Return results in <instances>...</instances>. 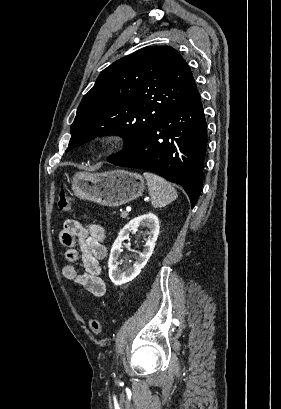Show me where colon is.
I'll return each instance as SVG.
<instances>
[{
  "mask_svg": "<svg viewBox=\"0 0 281 409\" xmlns=\"http://www.w3.org/2000/svg\"><path fill=\"white\" fill-rule=\"evenodd\" d=\"M58 207L62 212H70L72 209V200L64 192L63 189L59 190ZM90 329L93 333L98 334L102 329V320L100 318H94L91 320Z\"/></svg>",
  "mask_w": 281,
  "mask_h": 409,
  "instance_id": "colon-1",
  "label": "colon"
}]
</instances>
